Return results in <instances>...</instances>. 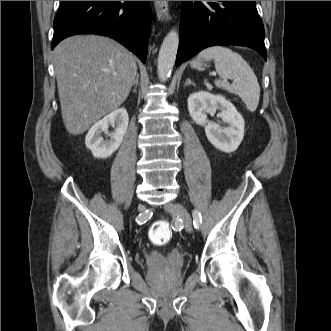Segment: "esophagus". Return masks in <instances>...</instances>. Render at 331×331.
<instances>
[{"mask_svg":"<svg viewBox=\"0 0 331 331\" xmlns=\"http://www.w3.org/2000/svg\"><path fill=\"white\" fill-rule=\"evenodd\" d=\"M157 17L159 20L169 19L168 1H154Z\"/></svg>","mask_w":331,"mask_h":331,"instance_id":"34e87169","label":"esophagus"}]
</instances>
